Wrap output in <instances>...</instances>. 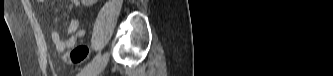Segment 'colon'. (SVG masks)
Returning a JSON list of instances; mask_svg holds the SVG:
<instances>
[{"instance_id": "1", "label": "colon", "mask_w": 333, "mask_h": 76, "mask_svg": "<svg viewBox=\"0 0 333 76\" xmlns=\"http://www.w3.org/2000/svg\"><path fill=\"white\" fill-rule=\"evenodd\" d=\"M89 55V48L86 45L75 47L71 52L64 54L63 60L69 64H80Z\"/></svg>"}]
</instances>
